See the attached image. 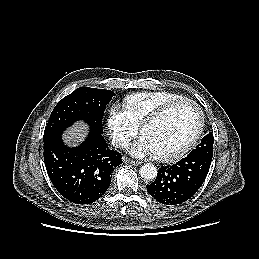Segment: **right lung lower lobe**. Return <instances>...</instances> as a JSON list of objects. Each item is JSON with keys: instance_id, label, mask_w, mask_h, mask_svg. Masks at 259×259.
<instances>
[{"instance_id": "98d812e1", "label": "right lung lower lobe", "mask_w": 259, "mask_h": 259, "mask_svg": "<svg viewBox=\"0 0 259 259\" xmlns=\"http://www.w3.org/2000/svg\"><path fill=\"white\" fill-rule=\"evenodd\" d=\"M44 141V162L58 192L76 204H90L109 188L112 171L122 164V155L108 148L102 136L90 130L78 147H68L62 132Z\"/></svg>"}]
</instances>
